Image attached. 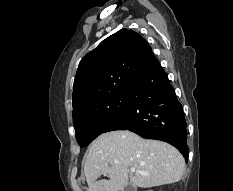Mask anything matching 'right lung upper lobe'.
Wrapping results in <instances>:
<instances>
[{"mask_svg": "<svg viewBox=\"0 0 233 191\" xmlns=\"http://www.w3.org/2000/svg\"><path fill=\"white\" fill-rule=\"evenodd\" d=\"M153 56L146 40L121 29L86 54L73 85V116L109 98L124 95Z\"/></svg>", "mask_w": 233, "mask_h": 191, "instance_id": "obj_1", "label": "right lung upper lobe"}]
</instances>
